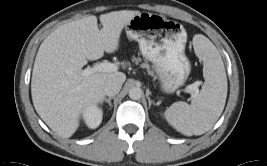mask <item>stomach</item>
<instances>
[{"mask_svg": "<svg viewBox=\"0 0 267 166\" xmlns=\"http://www.w3.org/2000/svg\"><path fill=\"white\" fill-rule=\"evenodd\" d=\"M126 34L152 62L164 92L173 93L186 82L191 65L185 55L187 34L180 23L141 12L126 25Z\"/></svg>", "mask_w": 267, "mask_h": 166, "instance_id": "obj_1", "label": "stomach"}]
</instances>
